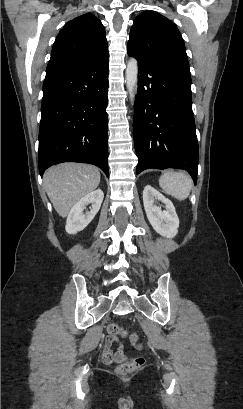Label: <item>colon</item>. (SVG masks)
I'll return each mask as SVG.
<instances>
[{
	"label": "colon",
	"mask_w": 243,
	"mask_h": 409,
	"mask_svg": "<svg viewBox=\"0 0 243 409\" xmlns=\"http://www.w3.org/2000/svg\"><path fill=\"white\" fill-rule=\"evenodd\" d=\"M108 330L110 333L120 335L123 338L129 337L132 344L137 345L138 336L136 334L129 335L127 330L115 324L109 325ZM143 363L144 358L141 356L130 358L119 365V367L117 368V372L122 375L129 374L134 370L138 369Z\"/></svg>",
	"instance_id": "obj_1"
}]
</instances>
